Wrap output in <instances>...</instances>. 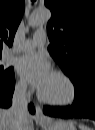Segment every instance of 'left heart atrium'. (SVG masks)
Wrapping results in <instances>:
<instances>
[{"label": "left heart atrium", "mask_w": 95, "mask_h": 130, "mask_svg": "<svg viewBox=\"0 0 95 130\" xmlns=\"http://www.w3.org/2000/svg\"><path fill=\"white\" fill-rule=\"evenodd\" d=\"M18 72L22 78L41 89L52 75L50 63L44 55L30 53L18 62Z\"/></svg>", "instance_id": "1"}]
</instances>
